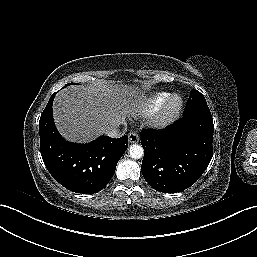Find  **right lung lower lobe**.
Here are the masks:
<instances>
[{"instance_id": "right-lung-lower-lobe-1", "label": "right lung lower lobe", "mask_w": 257, "mask_h": 257, "mask_svg": "<svg viewBox=\"0 0 257 257\" xmlns=\"http://www.w3.org/2000/svg\"><path fill=\"white\" fill-rule=\"evenodd\" d=\"M52 94L39 121L43 162L52 177L76 193H97L112 178L117 162L128 148L127 136L118 139L101 136L88 144L68 143L53 120Z\"/></svg>"}]
</instances>
